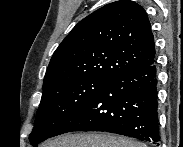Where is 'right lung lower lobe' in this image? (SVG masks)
Instances as JSON below:
<instances>
[{
  "mask_svg": "<svg viewBox=\"0 0 183 147\" xmlns=\"http://www.w3.org/2000/svg\"><path fill=\"white\" fill-rule=\"evenodd\" d=\"M157 84L155 63L122 73L70 115L53 136L102 131L156 143L160 141Z\"/></svg>",
  "mask_w": 183,
  "mask_h": 147,
  "instance_id": "obj_1",
  "label": "right lung lower lobe"
}]
</instances>
